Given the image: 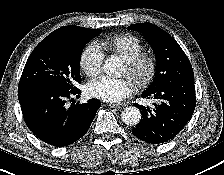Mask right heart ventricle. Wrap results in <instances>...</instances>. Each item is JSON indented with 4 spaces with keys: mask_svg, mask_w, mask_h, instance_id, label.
Wrapping results in <instances>:
<instances>
[{
    "mask_svg": "<svg viewBox=\"0 0 224 175\" xmlns=\"http://www.w3.org/2000/svg\"><path fill=\"white\" fill-rule=\"evenodd\" d=\"M100 44L118 54L126 62L135 59L143 50L141 41L129 34L116 35L102 41Z\"/></svg>",
    "mask_w": 224,
    "mask_h": 175,
    "instance_id": "obj_1",
    "label": "right heart ventricle"
}]
</instances>
